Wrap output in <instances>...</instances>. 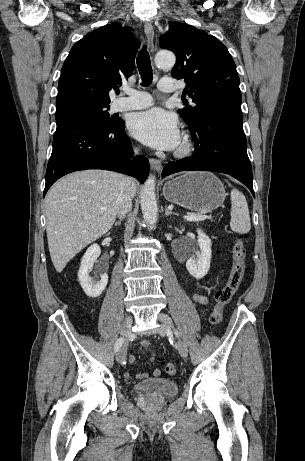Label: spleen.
<instances>
[{"mask_svg": "<svg viewBox=\"0 0 305 461\" xmlns=\"http://www.w3.org/2000/svg\"><path fill=\"white\" fill-rule=\"evenodd\" d=\"M230 185V184H229ZM230 228L239 234H246L251 229L248 204L245 196L237 189L231 190Z\"/></svg>", "mask_w": 305, "mask_h": 461, "instance_id": "spleen-1", "label": "spleen"}]
</instances>
